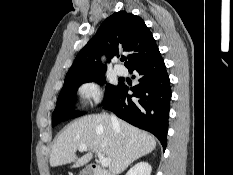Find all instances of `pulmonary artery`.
<instances>
[{
    "instance_id": "obj_1",
    "label": "pulmonary artery",
    "mask_w": 233,
    "mask_h": 175,
    "mask_svg": "<svg viewBox=\"0 0 233 175\" xmlns=\"http://www.w3.org/2000/svg\"><path fill=\"white\" fill-rule=\"evenodd\" d=\"M115 72L118 75H124L125 74V69L122 66L118 65V66L115 67Z\"/></svg>"
}]
</instances>
